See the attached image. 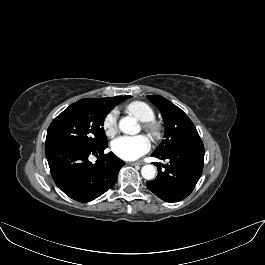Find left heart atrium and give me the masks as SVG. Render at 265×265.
<instances>
[{"instance_id":"obj_1","label":"left heart atrium","mask_w":265,"mask_h":265,"mask_svg":"<svg viewBox=\"0 0 265 265\" xmlns=\"http://www.w3.org/2000/svg\"><path fill=\"white\" fill-rule=\"evenodd\" d=\"M112 151L125 160H135L147 153L150 142L146 136H121L112 142Z\"/></svg>"}]
</instances>
